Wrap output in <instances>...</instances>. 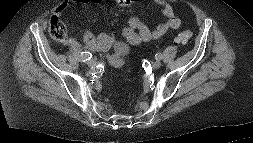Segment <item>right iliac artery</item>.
I'll use <instances>...</instances> for the list:
<instances>
[{"instance_id": "1", "label": "right iliac artery", "mask_w": 253, "mask_h": 143, "mask_svg": "<svg viewBox=\"0 0 253 143\" xmlns=\"http://www.w3.org/2000/svg\"><path fill=\"white\" fill-rule=\"evenodd\" d=\"M91 58H92V53L88 52V51L82 52L81 55H80V60L83 61V62H85V61H87Z\"/></svg>"}]
</instances>
